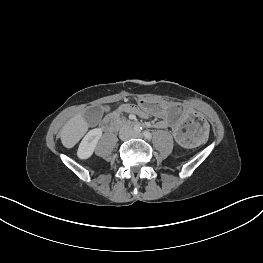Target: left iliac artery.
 Masks as SVG:
<instances>
[{
    "label": "left iliac artery",
    "mask_w": 263,
    "mask_h": 263,
    "mask_svg": "<svg viewBox=\"0 0 263 263\" xmlns=\"http://www.w3.org/2000/svg\"><path fill=\"white\" fill-rule=\"evenodd\" d=\"M143 135H144L145 138H147V139H151V138H152V135H151V133H150L149 131H144V132H143Z\"/></svg>",
    "instance_id": "44dca946"
}]
</instances>
